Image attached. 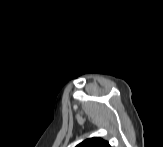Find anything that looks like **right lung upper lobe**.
<instances>
[{"label":"right lung upper lobe","mask_w":163,"mask_h":147,"mask_svg":"<svg viewBox=\"0 0 163 147\" xmlns=\"http://www.w3.org/2000/svg\"><path fill=\"white\" fill-rule=\"evenodd\" d=\"M77 147H110V145L107 141L94 137L84 140Z\"/></svg>","instance_id":"cb5924a9"}]
</instances>
